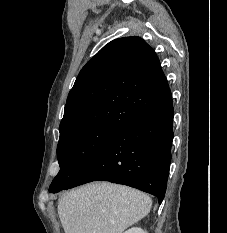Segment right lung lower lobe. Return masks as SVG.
<instances>
[{
	"mask_svg": "<svg viewBox=\"0 0 227 233\" xmlns=\"http://www.w3.org/2000/svg\"><path fill=\"white\" fill-rule=\"evenodd\" d=\"M173 116L170 98L118 130L64 189L104 180L150 193L161 203L171 162Z\"/></svg>",
	"mask_w": 227,
	"mask_h": 233,
	"instance_id": "1",
	"label": "right lung lower lobe"
}]
</instances>
